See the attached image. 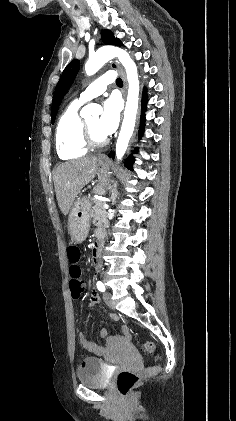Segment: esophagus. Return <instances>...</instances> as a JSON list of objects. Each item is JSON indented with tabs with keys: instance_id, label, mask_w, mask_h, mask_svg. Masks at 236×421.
Here are the masks:
<instances>
[{
	"instance_id": "obj_1",
	"label": "esophagus",
	"mask_w": 236,
	"mask_h": 421,
	"mask_svg": "<svg viewBox=\"0 0 236 421\" xmlns=\"http://www.w3.org/2000/svg\"><path fill=\"white\" fill-rule=\"evenodd\" d=\"M111 68L115 69L117 68L121 74V77L123 79V88H122V94H123V98L126 99V88H127V83H126V77L125 74L123 72V70L119 67V65L115 62L111 63ZM100 160H104L107 161V158L105 156H101Z\"/></svg>"
}]
</instances>
